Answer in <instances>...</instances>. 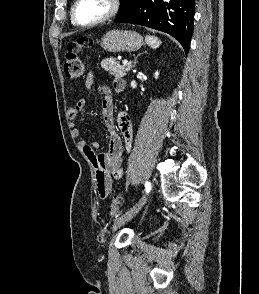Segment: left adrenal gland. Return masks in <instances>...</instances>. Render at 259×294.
Returning a JSON list of instances; mask_svg holds the SVG:
<instances>
[{
  "label": "left adrenal gland",
  "mask_w": 259,
  "mask_h": 294,
  "mask_svg": "<svg viewBox=\"0 0 259 294\" xmlns=\"http://www.w3.org/2000/svg\"><path fill=\"white\" fill-rule=\"evenodd\" d=\"M145 53H146V52H145ZM139 56H140V55H139ZM136 62H137V59L135 58V60H134V64H133V67H135Z\"/></svg>",
  "instance_id": "1"
}]
</instances>
